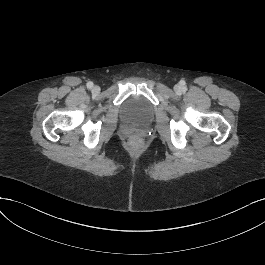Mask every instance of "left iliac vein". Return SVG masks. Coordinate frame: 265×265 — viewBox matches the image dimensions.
I'll return each mask as SVG.
<instances>
[{
    "label": "left iliac vein",
    "instance_id": "4c4485c4",
    "mask_svg": "<svg viewBox=\"0 0 265 265\" xmlns=\"http://www.w3.org/2000/svg\"><path fill=\"white\" fill-rule=\"evenodd\" d=\"M174 90H175L177 93H179V92H181V87H180L179 85H176V86L174 87Z\"/></svg>",
    "mask_w": 265,
    "mask_h": 265
}]
</instances>
